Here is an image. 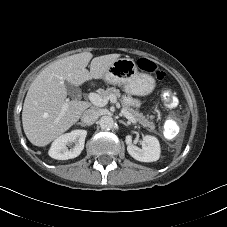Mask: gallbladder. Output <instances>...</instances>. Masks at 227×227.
<instances>
[{"label":"gallbladder","mask_w":227,"mask_h":227,"mask_svg":"<svg viewBox=\"0 0 227 227\" xmlns=\"http://www.w3.org/2000/svg\"><path fill=\"white\" fill-rule=\"evenodd\" d=\"M66 89L68 91V94L73 97V98H77L80 95V89L76 86H73L69 83H65Z\"/></svg>","instance_id":"1"}]
</instances>
